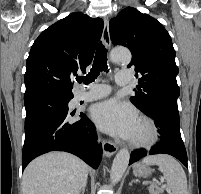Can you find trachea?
I'll use <instances>...</instances> for the list:
<instances>
[{
  "label": "trachea",
  "mask_w": 201,
  "mask_h": 194,
  "mask_svg": "<svg viewBox=\"0 0 201 194\" xmlns=\"http://www.w3.org/2000/svg\"><path fill=\"white\" fill-rule=\"evenodd\" d=\"M108 66H107V49L104 47V45L100 42L95 58H94V63L92 65V69L86 75L85 77H79L77 78V82L82 83L84 81L85 84H89L98 77L101 71H107Z\"/></svg>",
  "instance_id": "trachea-1"
}]
</instances>
